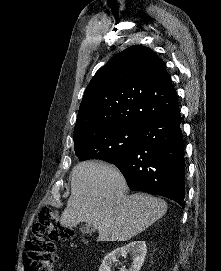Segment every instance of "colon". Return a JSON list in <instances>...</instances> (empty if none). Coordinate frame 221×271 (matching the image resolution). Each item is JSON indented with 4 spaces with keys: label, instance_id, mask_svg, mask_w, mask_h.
I'll use <instances>...</instances> for the list:
<instances>
[{
    "label": "colon",
    "instance_id": "5ec220e1",
    "mask_svg": "<svg viewBox=\"0 0 221 271\" xmlns=\"http://www.w3.org/2000/svg\"><path fill=\"white\" fill-rule=\"evenodd\" d=\"M75 235L72 228L66 227L54 207L45 206L39 220L33 226V235L23 253V271H53L57 260L54 241L70 240Z\"/></svg>",
    "mask_w": 221,
    "mask_h": 271
}]
</instances>
